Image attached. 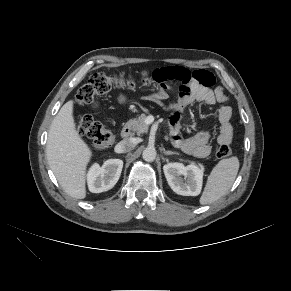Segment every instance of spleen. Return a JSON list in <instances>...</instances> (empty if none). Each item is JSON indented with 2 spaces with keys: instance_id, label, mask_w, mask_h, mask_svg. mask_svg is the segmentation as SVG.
Here are the masks:
<instances>
[{
  "instance_id": "3e777b00",
  "label": "spleen",
  "mask_w": 291,
  "mask_h": 291,
  "mask_svg": "<svg viewBox=\"0 0 291 291\" xmlns=\"http://www.w3.org/2000/svg\"><path fill=\"white\" fill-rule=\"evenodd\" d=\"M239 165L235 156L220 160L208 176L200 204H211L225 195L236 179Z\"/></svg>"
}]
</instances>
